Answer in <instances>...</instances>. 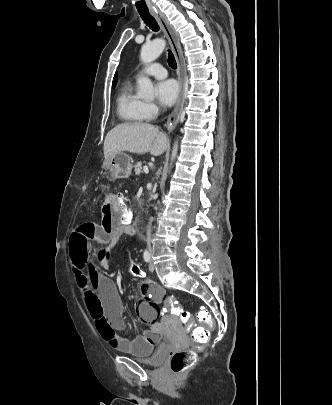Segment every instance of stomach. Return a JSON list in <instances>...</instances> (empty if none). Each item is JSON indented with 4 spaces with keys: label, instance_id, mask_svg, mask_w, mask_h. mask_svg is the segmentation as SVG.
Listing matches in <instances>:
<instances>
[{
    "label": "stomach",
    "instance_id": "0dacf381",
    "mask_svg": "<svg viewBox=\"0 0 332 405\" xmlns=\"http://www.w3.org/2000/svg\"><path fill=\"white\" fill-rule=\"evenodd\" d=\"M103 168L109 170L113 176L127 177L131 173L132 159L128 154L118 152L104 162Z\"/></svg>",
    "mask_w": 332,
    "mask_h": 405
}]
</instances>
